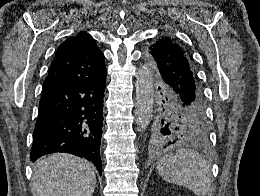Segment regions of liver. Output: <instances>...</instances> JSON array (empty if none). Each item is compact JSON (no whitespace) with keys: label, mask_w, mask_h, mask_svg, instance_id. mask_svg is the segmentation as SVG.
<instances>
[{"label":"liver","mask_w":260,"mask_h":196,"mask_svg":"<svg viewBox=\"0 0 260 196\" xmlns=\"http://www.w3.org/2000/svg\"><path fill=\"white\" fill-rule=\"evenodd\" d=\"M95 188L90 162L71 154H51L33 168V196H92Z\"/></svg>","instance_id":"1"}]
</instances>
